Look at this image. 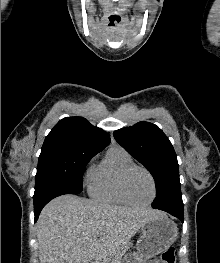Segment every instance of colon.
Returning <instances> with one entry per match:
<instances>
[{
	"instance_id": "colon-1",
	"label": "colon",
	"mask_w": 220,
	"mask_h": 263,
	"mask_svg": "<svg viewBox=\"0 0 220 263\" xmlns=\"http://www.w3.org/2000/svg\"><path fill=\"white\" fill-rule=\"evenodd\" d=\"M175 250L172 247L165 249L161 254V263H174Z\"/></svg>"
}]
</instances>
